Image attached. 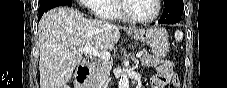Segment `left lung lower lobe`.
<instances>
[{"mask_svg":"<svg viewBox=\"0 0 227 88\" xmlns=\"http://www.w3.org/2000/svg\"><path fill=\"white\" fill-rule=\"evenodd\" d=\"M164 13L159 19L160 24H175L180 20L183 13V0H165Z\"/></svg>","mask_w":227,"mask_h":88,"instance_id":"obj_1","label":"left lung lower lobe"}]
</instances>
